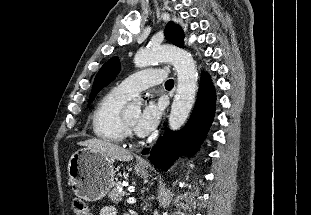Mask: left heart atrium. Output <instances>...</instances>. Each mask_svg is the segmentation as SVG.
Here are the masks:
<instances>
[{
  "instance_id": "obj_1",
  "label": "left heart atrium",
  "mask_w": 311,
  "mask_h": 215,
  "mask_svg": "<svg viewBox=\"0 0 311 215\" xmlns=\"http://www.w3.org/2000/svg\"><path fill=\"white\" fill-rule=\"evenodd\" d=\"M162 110L163 105L161 102L154 100L147 102L134 123L136 133L139 136L150 134L157 126Z\"/></svg>"
}]
</instances>
